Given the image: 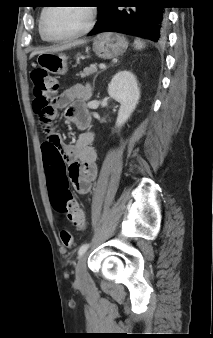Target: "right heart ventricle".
<instances>
[{
    "instance_id": "right-heart-ventricle-1",
    "label": "right heart ventricle",
    "mask_w": 213,
    "mask_h": 338,
    "mask_svg": "<svg viewBox=\"0 0 213 338\" xmlns=\"http://www.w3.org/2000/svg\"><path fill=\"white\" fill-rule=\"evenodd\" d=\"M45 10V9H44ZM44 10H42V12L40 13V17H39V23H40V18H41V15L43 14Z\"/></svg>"
}]
</instances>
